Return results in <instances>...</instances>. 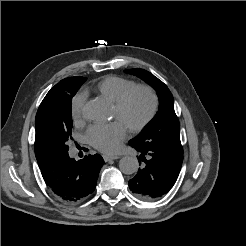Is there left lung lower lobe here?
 Returning a JSON list of instances; mask_svg holds the SVG:
<instances>
[{
  "instance_id": "left-lung-lower-lobe-1",
  "label": "left lung lower lobe",
  "mask_w": 246,
  "mask_h": 246,
  "mask_svg": "<svg viewBox=\"0 0 246 246\" xmlns=\"http://www.w3.org/2000/svg\"><path fill=\"white\" fill-rule=\"evenodd\" d=\"M136 150L141 153L140 159L144 164L135 177L130 179L129 188L140 199H158L168 193L175 184L183 155L157 148Z\"/></svg>"
}]
</instances>
